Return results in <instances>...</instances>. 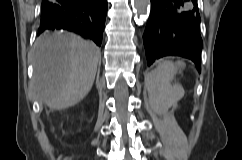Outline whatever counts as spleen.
<instances>
[{
    "label": "spleen",
    "mask_w": 242,
    "mask_h": 160,
    "mask_svg": "<svg viewBox=\"0 0 242 160\" xmlns=\"http://www.w3.org/2000/svg\"><path fill=\"white\" fill-rule=\"evenodd\" d=\"M184 63L179 61L172 63L162 61L157 68L151 73L148 80L149 86L157 90V95L161 107L169 108L172 102L176 100V86H172L178 67H184Z\"/></svg>",
    "instance_id": "3e777b00"
}]
</instances>
